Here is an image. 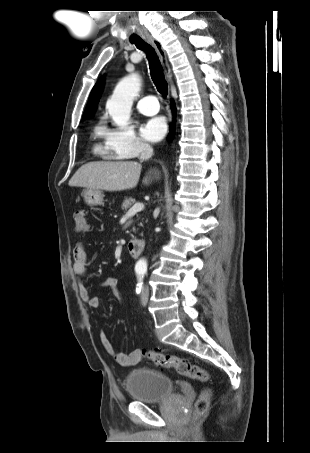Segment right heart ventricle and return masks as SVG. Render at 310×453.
Here are the masks:
<instances>
[{
	"mask_svg": "<svg viewBox=\"0 0 310 453\" xmlns=\"http://www.w3.org/2000/svg\"><path fill=\"white\" fill-rule=\"evenodd\" d=\"M99 133H100V129L96 128L95 129V134L98 135ZM94 150H95L96 153H99V154L103 155L106 158H111L112 157L106 152L105 148L102 145H100V144H95L94 145Z\"/></svg>",
	"mask_w": 310,
	"mask_h": 453,
	"instance_id": "e07e8e85",
	"label": "right heart ventricle"
}]
</instances>
